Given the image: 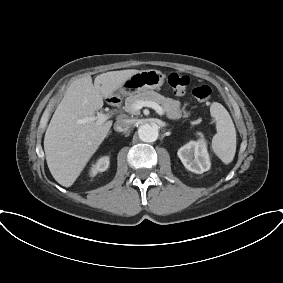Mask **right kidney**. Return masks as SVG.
<instances>
[{"label":"right kidney","mask_w":283,"mask_h":283,"mask_svg":"<svg viewBox=\"0 0 283 283\" xmlns=\"http://www.w3.org/2000/svg\"><path fill=\"white\" fill-rule=\"evenodd\" d=\"M109 166V157H101L96 164L91 167V175L95 176L98 172H104Z\"/></svg>","instance_id":"ca27d5eb"}]
</instances>
